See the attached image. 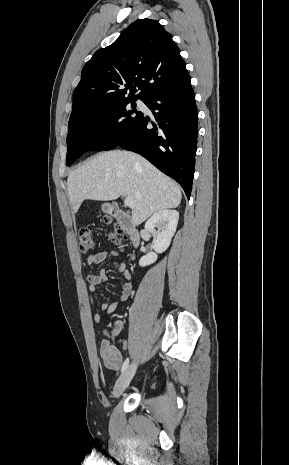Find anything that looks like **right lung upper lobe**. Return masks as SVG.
I'll return each mask as SVG.
<instances>
[{
  "label": "right lung upper lobe",
  "mask_w": 289,
  "mask_h": 465,
  "mask_svg": "<svg viewBox=\"0 0 289 465\" xmlns=\"http://www.w3.org/2000/svg\"><path fill=\"white\" fill-rule=\"evenodd\" d=\"M190 81L180 50L157 20L138 19L110 46L95 52L74 91L69 128L80 108L103 100L141 99ZM138 88L141 92L133 95ZM128 95V96H127Z\"/></svg>",
  "instance_id": "1"
}]
</instances>
